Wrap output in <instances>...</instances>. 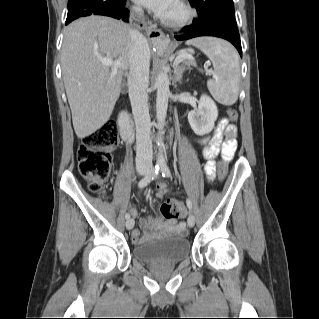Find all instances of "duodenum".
<instances>
[{
    "instance_id": "obj_1",
    "label": "duodenum",
    "mask_w": 319,
    "mask_h": 319,
    "mask_svg": "<svg viewBox=\"0 0 319 319\" xmlns=\"http://www.w3.org/2000/svg\"><path fill=\"white\" fill-rule=\"evenodd\" d=\"M118 125L122 139L125 142H131L133 137V126L129 113L126 110H121L119 112Z\"/></svg>"
}]
</instances>
